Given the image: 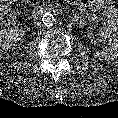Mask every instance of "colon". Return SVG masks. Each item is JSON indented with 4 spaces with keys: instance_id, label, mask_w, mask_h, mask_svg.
I'll return each instance as SVG.
<instances>
[{
    "instance_id": "5ec220e1",
    "label": "colon",
    "mask_w": 118,
    "mask_h": 118,
    "mask_svg": "<svg viewBox=\"0 0 118 118\" xmlns=\"http://www.w3.org/2000/svg\"><path fill=\"white\" fill-rule=\"evenodd\" d=\"M35 2L36 0H30ZM15 16L10 9L0 6V27L11 25L14 22Z\"/></svg>"
}]
</instances>
